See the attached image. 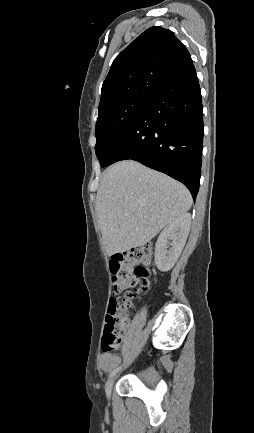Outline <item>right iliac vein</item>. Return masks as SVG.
Instances as JSON below:
<instances>
[{"instance_id": "63e3f726", "label": "right iliac vein", "mask_w": 254, "mask_h": 433, "mask_svg": "<svg viewBox=\"0 0 254 433\" xmlns=\"http://www.w3.org/2000/svg\"><path fill=\"white\" fill-rule=\"evenodd\" d=\"M114 380H115V377H112L106 383L105 391H106V395H107L108 398H110L111 390H112V386H113Z\"/></svg>"}]
</instances>
